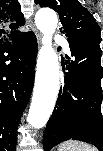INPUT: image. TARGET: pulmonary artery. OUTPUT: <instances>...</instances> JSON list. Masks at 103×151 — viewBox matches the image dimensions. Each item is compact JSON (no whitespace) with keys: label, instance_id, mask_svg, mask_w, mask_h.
<instances>
[{"label":"pulmonary artery","instance_id":"obj_1","mask_svg":"<svg viewBox=\"0 0 103 151\" xmlns=\"http://www.w3.org/2000/svg\"><path fill=\"white\" fill-rule=\"evenodd\" d=\"M55 41H56L57 43H59V44L62 45V47H63V49H64V51H65L66 53H70L69 43L66 41V39H64L63 37L57 35V36L55 37Z\"/></svg>","mask_w":103,"mask_h":151}]
</instances>
